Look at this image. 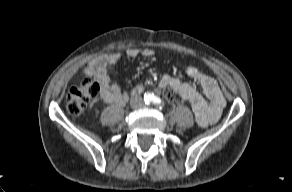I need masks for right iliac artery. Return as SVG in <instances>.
<instances>
[{"label": "right iliac artery", "instance_id": "1", "mask_svg": "<svg viewBox=\"0 0 292 192\" xmlns=\"http://www.w3.org/2000/svg\"><path fill=\"white\" fill-rule=\"evenodd\" d=\"M152 101H153V95H151V94L145 95V103L146 104H150Z\"/></svg>", "mask_w": 292, "mask_h": 192}]
</instances>
